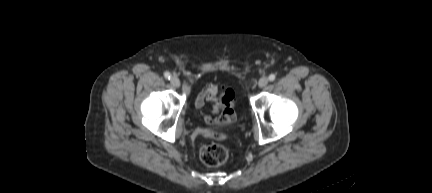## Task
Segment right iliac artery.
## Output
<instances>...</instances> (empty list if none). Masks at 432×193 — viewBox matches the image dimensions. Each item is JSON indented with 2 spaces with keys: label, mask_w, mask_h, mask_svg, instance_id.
<instances>
[{
  "label": "right iliac artery",
  "mask_w": 432,
  "mask_h": 193,
  "mask_svg": "<svg viewBox=\"0 0 432 193\" xmlns=\"http://www.w3.org/2000/svg\"><path fill=\"white\" fill-rule=\"evenodd\" d=\"M164 76H165V78L168 79V80H170V78H171V74H170L169 72H165V73H164Z\"/></svg>",
  "instance_id": "1"
}]
</instances>
